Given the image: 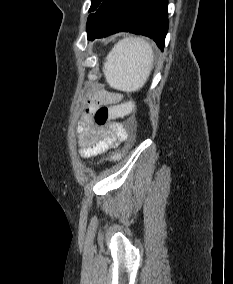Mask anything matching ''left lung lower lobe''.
<instances>
[{"label":"left lung lower lobe","instance_id":"1","mask_svg":"<svg viewBox=\"0 0 233 284\" xmlns=\"http://www.w3.org/2000/svg\"><path fill=\"white\" fill-rule=\"evenodd\" d=\"M168 0H103L94 14L87 38L131 32L152 38L163 50L168 30Z\"/></svg>","mask_w":233,"mask_h":284}]
</instances>
